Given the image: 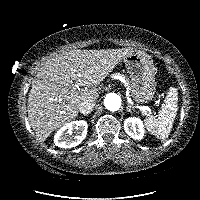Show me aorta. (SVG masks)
Listing matches in <instances>:
<instances>
[{"mask_svg":"<svg viewBox=\"0 0 200 200\" xmlns=\"http://www.w3.org/2000/svg\"><path fill=\"white\" fill-rule=\"evenodd\" d=\"M104 105L109 111H117L121 107V98L116 93H108L104 98Z\"/></svg>","mask_w":200,"mask_h":200,"instance_id":"aorta-1","label":"aorta"}]
</instances>
